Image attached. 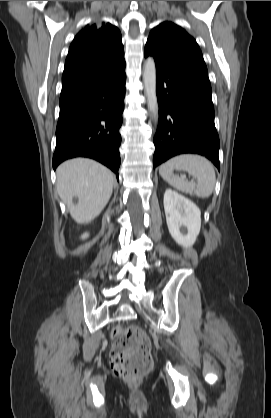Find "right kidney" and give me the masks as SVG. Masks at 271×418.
Returning a JSON list of instances; mask_svg holds the SVG:
<instances>
[{"instance_id": "ca27d5eb", "label": "right kidney", "mask_w": 271, "mask_h": 418, "mask_svg": "<svg viewBox=\"0 0 271 418\" xmlns=\"http://www.w3.org/2000/svg\"><path fill=\"white\" fill-rule=\"evenodd\" d=\"M87 237H88V234L87 233H85V234L82 235V239H85Z\"/></svg>"}]
</instances>
